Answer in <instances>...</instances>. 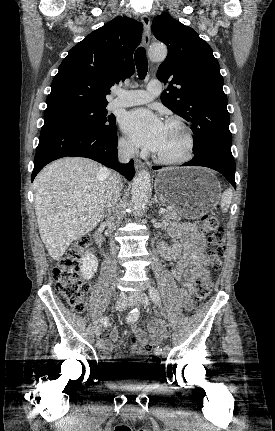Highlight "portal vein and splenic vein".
Instances as JSON below:
<instances>
[{"label":"portal vein and splenic vein","instance_id":"1","mask_svg":"<svg viewBox=\"0 0 275 431\" xmlns=\"http://www.w3.org/2000/svg\"><path fill=\"white\" fill-rule=\"evenodd\" d=\"M166 212H167V209H164V208H162V209L159 210V213H161V214H164Z\"/></svg>","mask_w":275,"mask_h":431}]
</instances>
